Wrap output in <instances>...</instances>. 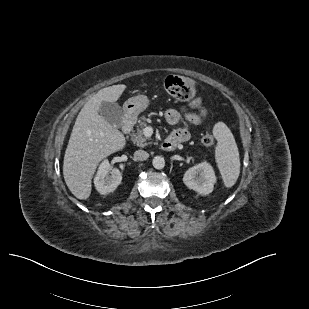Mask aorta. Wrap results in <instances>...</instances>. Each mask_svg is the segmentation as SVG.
I'll return each instance as SVG.
<instances>
[{
  "label": "aorta",
  "mask_w": 309,
  "mask_h": 309,
  "mask_svg": "<svg viewBox=\"0 0 309 309\" xmlns=\"http://www.w3.org/2000/svg\"><path fill=\"white\" fill-rule=\"evenodd\" d=\"M152 164L155 169H163L165 166V160L162 156H155L153 158Z\"/></svg>",
  "instance_id": "aorta-1"
}]
</instances>
